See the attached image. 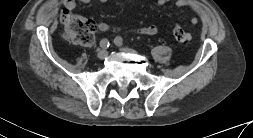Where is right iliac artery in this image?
<instances>
[{
  "instance_id": "right-iliac-artery-1",
  "label": "right iliac artery",
  "mask_w": 253,
  "mask_h": 138,
  "mask_svg": "<svg viewBox=\"0 0 253 138\" xmlns=\"http://www.w3.org/2000/svg\"><path fill=\"white\" fill-rule=\"evenodd\" d=\"M110 46L109 40L104 38L100 41V47L102 49H107Z\"/></svg>"
}]
</instances>
